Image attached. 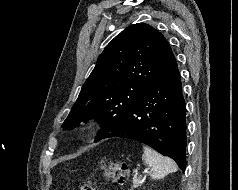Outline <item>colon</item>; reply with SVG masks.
I'll return each mask as SVG.
<instances>
[{"label": "colon", "instance_id": "5ec220e1", "mask_svg": "<svg viewBox=\"0 0 238 190\" xmlns=\"http://www.w3.org/2000/svg\"><path fill=\"white\" fill-rule=\"evenodd\" d=\"M99 169L105 178L111 179L117 184H124L130 176L128 165L119 161L103 160ZM81 190H99L96 179L90 178Z\"/></svg>", "mask_w": 238, "mask_h": 190}]
</instances>
